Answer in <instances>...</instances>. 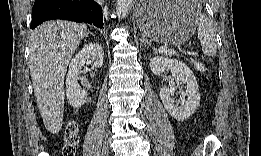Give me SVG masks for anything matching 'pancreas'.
<instances>
[{
    "mask_svg": "<svg viewBox=\"0 0 261 156\" xmlns=\"http://www.w3.org/2000/svg\"><path fill=\"white\" fill-rule=\"evenodd\" d=\"M169 54H170V55H174L175 53H174L173 51H170Z\"/></svg>",
    "mask_w": 261,
    "mask_h": 156,
    "instance_id": "1",
    "label": "pancreas"
}]
</instances>
